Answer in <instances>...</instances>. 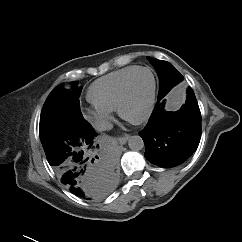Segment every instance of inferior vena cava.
Listing matches in <instances>:
<instances>
[{"instance_id": "obj_1", "label": "inferior vena cava", "mask_w": 242, "mask_h": 242, "mask_svg": "<svg viewBox=\"0 0 242 242\" xmlns=\"http://www.w3.org/2000/svg\"><path fill=\"white\" fill-rule=\"evenodd\" d=\"M94 127L97 131H106L113 128V124L108 120H97L94 124Z\"/></svg>"}]
</instances>
